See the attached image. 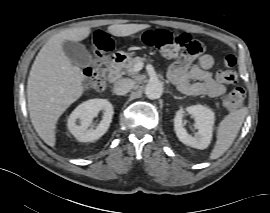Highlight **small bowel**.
Returning <instances> with one entry per match:
<instances>
[{"instance_id": "obj_1", "label": "small bowel", "mask_w": 270, "mask_h": 213, "mask_svg": "<svg viewBox=\"0 0 270 213\" xmlns=\"http://www.w3.org/2000/svg\"><path fill=\"white\" fill-rule=\"evenodd\" d=\"M213 64L214 58L210 54H203L196 63L191 56L185 55L171 64L169 78L187 95L217 97L225 92L226 87L209 71Z\"/></svg>"}]
</instances>
